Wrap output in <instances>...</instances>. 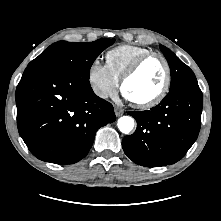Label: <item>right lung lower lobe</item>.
<instances>
[{"label":"right lung lower lobe","instance_id":"1","mask_svg":"<svg viewBox=\"0 0 221 221\" xmlns=\"http://www.w3.org/2000/svg\"><path fill=\"white\" fill-rule=\"evenodd\" d=\"M19 134L40 160L73 164L84 158L96 131L115 121L111 103L89 79L54 69L25 70L16 88Z\"/></svg>","mask_w":221,"mask_h":221}]
</instances>
